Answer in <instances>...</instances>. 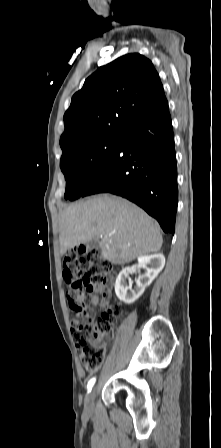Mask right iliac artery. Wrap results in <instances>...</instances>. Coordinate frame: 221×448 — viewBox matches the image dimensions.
Here are the masks:
<instances>
[{"label": "right iliac artery", "instance_id": "1", "mask_svg": "<svg viewBox=\"0 0 221 448\" xmlns=\"http://www.w3.org/2000/svg\"><path fill=\"white\" fill-rule=\"evenodd\" d=\"M95 381H96V378H92V379L89 380L88 385H87L88 392L91 391L92 387L95 384Z\"/></svg>", "mask_w": 221, "mask_h": 448}]
</instances>
